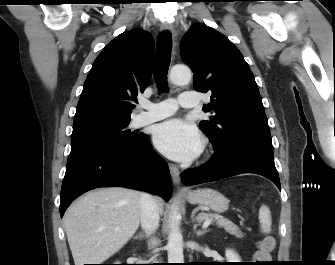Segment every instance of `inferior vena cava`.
Instances as JSON below:
<instances>
[{
	"instance_id": "602c4592",
	"label": "inferior vena cava",
	"mask_w": 335,
	"mask_h": 265,
	"mask_svg": "<svg viewBox=\"0 0 335 265\" xmlns=\"http://www.w3.org/2000/svg\"><path fill=\"white\" fill-rule=\"evenodd\" d=\"M140 222L142 228L148 235H151L159 226V210L155 199L146 193L141 194L140 198ZM152 245L156 244L153 239L150 242Z\"/></svg>"
}]
</instances>
